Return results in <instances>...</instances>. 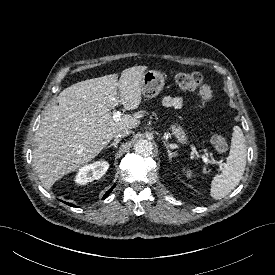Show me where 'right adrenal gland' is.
<instances>
[{
  "instance_id": "obj_1",
  "label": "right adrenal gland",
  "mask_w": 275,
  "mask_h": 275,
  "mask_svg": "<svg viewBox=\"0 0 275 275\" xmlns=\"http://www.w3.org/2000/svg\"><path fill=\"white\" fill-rule=\"evenodd\" d=\"M120 140H121V138L115 139L112 143H110L108 146H106L105 149L110 148V147H114V149L117 148V145L120 142Z\"/></svg>"
}]
</instances>
